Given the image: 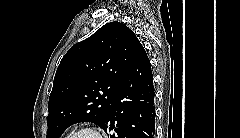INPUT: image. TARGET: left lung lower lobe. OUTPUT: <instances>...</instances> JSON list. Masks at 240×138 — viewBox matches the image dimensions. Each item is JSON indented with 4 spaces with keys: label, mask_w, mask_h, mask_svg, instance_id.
I'll return each instance as SVG.
<instances>
[{
    "label": "left lung lower lobe",
    "mask_w": 240,
    "mask_h": 138,
    "mask_svg": "<svg viewBox=\"0 0 240 138\" xmlns=\"http://www.w3.org/2000/svg\"><path fill=\"white\" fill-rule=\"evenodd\" d=\"M154 96L151 65L142 46L111 102L102 128L111 138H154Z\"/></svg>",
    "instance_id": "1"
}]
</instances>
